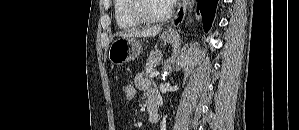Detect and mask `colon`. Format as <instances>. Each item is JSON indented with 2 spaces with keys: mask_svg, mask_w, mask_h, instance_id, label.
Wrapping results in <instances>:
<instances>
[{
  "mask_svg": "<svg viewBox=\"0 0 299 130\" xmlns=\"http://www.w3.org/2000/svg\"><path fill=\"white\" fill-rule=\"evenodd\" d=\"M137 91V86L134 82H128L123 88V94L126 101H131L134 99Z\"/></svg>",
  "mask_w": 299,
  "mask_h": 130,
  "instance_id": "5ec220e1",
  "label": "colon"
}]
</instances>
